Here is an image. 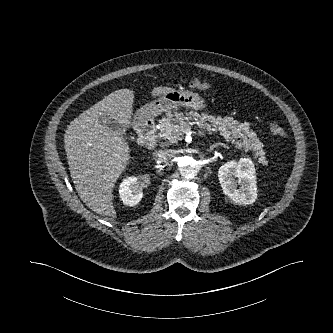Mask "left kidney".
Returning <instances> with one entry per match:
<instances>
[{
	"mask_svg": "<svg viewBox=\"0 0 333 333\" xmlns=\"http://www.w3.org/2000/svg\"><path fill=\"white\" fill-rule=\"evenodd\" d=\"M254 163L249 158L230 161L219 168L218 177L224 194L238 204H252L257 198Z\"/></svg>",
	"mask_w": 333,
	"mask_h": 333,
	"instance_id": "5707ae66",
	"label": "left kidney"
}]
</instances>
